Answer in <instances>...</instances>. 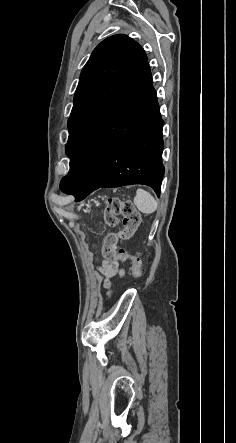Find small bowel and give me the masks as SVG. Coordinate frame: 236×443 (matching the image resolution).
I'll use <instances>...</instances> for the list:
<instances>
[{
	"instance_id": "c3829d8e",
	"label": "small bowel",
	"mask_w": 236,
	"mask_h": 443,
	"mask_svg": "<svg viewBox=\"0 0 236 443\" xmlns=\"http://www.w3.org/2000/svg\"><path fill=\"white\" fill-rule=\"evenodd\" d=\"M101 273L106 277L105 286L109 288L110 286V279L117 274L123 275L124 272L119 268V265L116 261H106L104 260L101 267H100Z\"/></svg>"
}]
</instances>
